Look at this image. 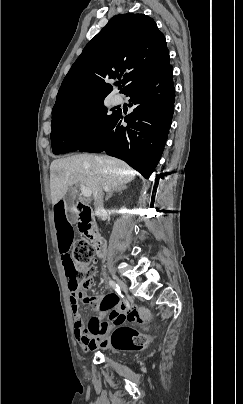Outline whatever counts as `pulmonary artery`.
<instances>
[{"mask_svg":"<svg viewBox=\"0 0 243 404\" xmlns=\"http://www.w3.org/2000/svg\"><path fill=\"white\" fill-rule=\"evenodd\" d=\"M113 101H114V103H115L116 105L121 104V103L123 102V96H122L121 94H119V93H116V94L113 96Z\"/></svg>","mask_w":243,"mask_h":404,"instance_id":"e3ab8cb5","label":"pulmonary artery"}]
</instances>
